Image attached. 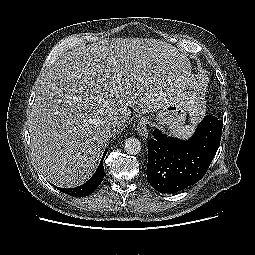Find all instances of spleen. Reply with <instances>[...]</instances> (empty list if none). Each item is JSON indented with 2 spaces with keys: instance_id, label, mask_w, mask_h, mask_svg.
Instances as JSON below:
<instances>
[{
  "instance_id": "3e777b00",
  "label": "spleen",
  "mask_w": 255,
  "mask_h": 255,
  "mask_svg": "<svg viewBox=\"0 0 255 255\" xmlns=\"http://www.w3.org/2000/svg\"><path fill=\"white\" fill-rule=\"evenodd\" d=\"M192 128L189 127V126H185V127H181L179 129H175V130H172L171 133L172 134H178V135H187L189 134V131L191 130Z\"/></svg>"
}]
</instances>
